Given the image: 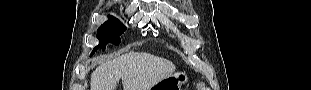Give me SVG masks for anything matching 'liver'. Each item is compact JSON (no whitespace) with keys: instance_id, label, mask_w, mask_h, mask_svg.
<instances>
[{"instance_id":"obj_1","label":"liver","mask_w":311,"mask_h":90,"mask_svg":"<svg viewBox=\"0 0 311 90\" xmlns=\"http://www.w3.org/2000/svg\"><path fill=\"white\" fill-rule=\"evenodd\" d=\"M175 65L166 59L145 53L129 52L102 63L91 75V90H116L122 80L123 90H150L169 77Z\"/></svg>"}]
</instances>
